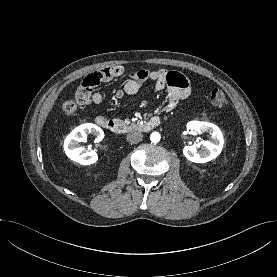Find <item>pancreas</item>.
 Instances as JSON below:
<instances>
[{"label":"pancreas","instance_id":"1","mask_svg":"<svg viewBox=\"0 0 277 277\" xmlns=\"http://www.w3.org/2000/svg\"><path fill=\"white\" fill-rule=\"evenodd\" d=\"M118 124L123 128L124 131L140 130L143 125L139 122L130 123V121L117 120Z\"/></svg>","mask_w":277,"mask_h":277}]
</instances>
